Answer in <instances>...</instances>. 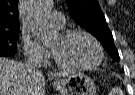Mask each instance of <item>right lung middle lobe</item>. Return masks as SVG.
<instances>
[{
	"instance_id": "right-lung-middle-lobe-1",
	"label": "right lung middle lobe",
	"mask_w": 135,
	"mask_h": 95,
	"mask_svg": "<svg viewBox=\"0 0 135 95\" xmlns=\"http://www.w3.org/2000/svg\"><path fill=\"white\" fill-rule=\"evenodd\" d=\"M19 30L0 32V54H13L17 52L16 43Z\"/></svg>"
}]
</instances>
